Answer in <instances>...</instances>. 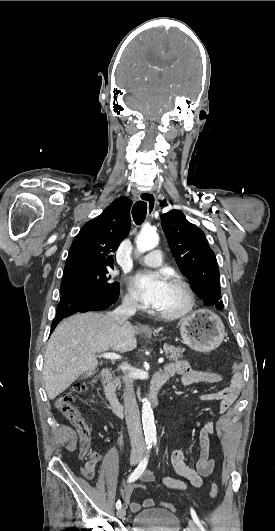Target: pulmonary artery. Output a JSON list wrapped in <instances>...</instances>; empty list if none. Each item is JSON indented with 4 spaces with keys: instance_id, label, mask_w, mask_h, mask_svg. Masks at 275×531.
Listing matches in <instances>:
<instances>
[{
    "instance_id": "1",
    "label": "pulmonary artery",
    "mask_w": 275,
    "mask_h": 531,
    "mask_svg": "<svg viewBox=\"0 0 275 531\" xmlns=\"http://www.w3.org/2000/svg\"><path fill=\"white\" fill-rule=\"evenodd\" d=\"M151 255V254H150ZM162 257V252L160 250H155L153 252V255L151 256H144V258L139 259L136 257V261L140 263H144L146 265H150L151 267L154 265H159Z\"/></svg>"
}]
</instances>
